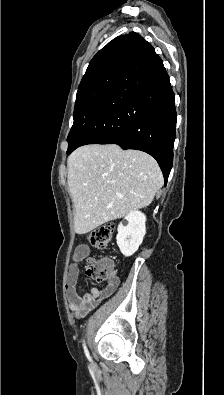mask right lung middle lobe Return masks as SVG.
<instances>
[{"label": "right lung middle lobe", "mask_w": 224, "mask_h": 395, "mask_svg": "<svg viewBox=\"0 0 224 395\" xmlns=\"http://www.w3.org/2000/svg\"><path fill=\"white\" fill-rule=\"evenodd\" d=\"M121 71L104 74L84 85L79 86L76 95L74 123L68 135V149L79 139L84 127L105 101Z\"/></svg>", "instance_id": "dd1d6c3e"}]
</instances>
